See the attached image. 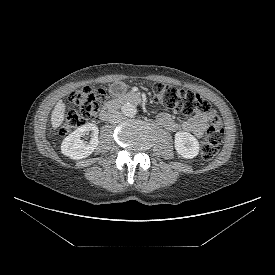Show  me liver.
Returning a JSON list of instances; mask_svg holds the SVG:
<instances>
[{
	"instance_id": "6515ba94",
	"label": "liver",
	"mask_w": 275,
	"mask_h": 275,
	"mask_svg": "<svg viewBox=\"0 0 275 275\" xmlns=\"http://www.w3.org/2000/svg\"><path fill=\"white\" fill-rule=\"evenodd\" d=\"M65 117V104L62 100L58 101L51 114V125L54 129L61 126Z\"/></svg>"
}]
</instances>
